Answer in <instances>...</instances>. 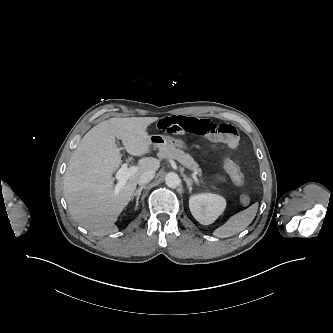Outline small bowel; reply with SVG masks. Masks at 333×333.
Here are the masks:
<instances>
[{"label":"small bowel","mask_w":333,"mask_h":333,"mask_svg":"<svg viewBox=\"0 0 333 333\" xmlns=\"http://www.w3.org/2000/svg\"><path fill=\"white\" fill-rule=\"evenodd\" d=\"M156 127L172 135L201 136L213 143L226 145L230 149H236L239 142L235 127L227 123L216 124L205 118L184 115L166 116L157 121Z\"/></svg>","instance_id":"c3829d8e"}]
</instances>
